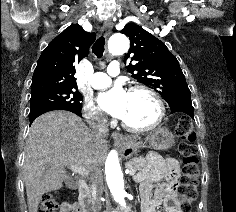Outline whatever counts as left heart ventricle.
<instances>
[{"label":"left heart ventricle","instance_id":"left-heart-ventricle-1","mask_svg":"<svg viewBox=\"0 0 236 212\" xmlns=\"http://www.w3.org/2000/svg\"><path fill=\"white\" fill-rule=\"evenodd\" d=\"M158 113L155 101L144 92L128 93L126 114L122 118L133 127H144L152 123Z\"/></svg>","mask_w":236,"mask_h":212}]
</instances>
